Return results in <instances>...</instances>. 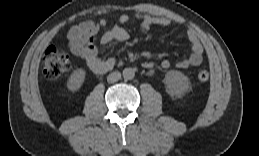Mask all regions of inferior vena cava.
I'll list each match as a JSON object with an SVG mask.
<instances>
[{
    "label": "inferior vena cava",
    "mask_w": 259,
    "mask_h": 156,
    "mask_svg": "<svg viewBox=\"0 0 259 156\" xmlns=\"http://www.w3.org/2000/svg\"><path fill=\"white\" fill-rule=\"evenodd\" d=\"M120 78H121V73L118 71H114L107 76V81L109 83H114V82H117Z\"/></svg>",
    "instance_id": "1"
}]
</instances>
